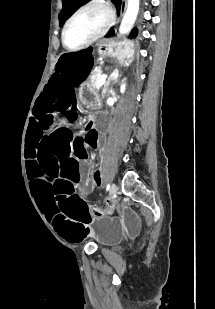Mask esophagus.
<instances>
[{
    "label": "esophagus",
    "mask_w": 215,
    "mask_h": 309,
    "mask_svg": "<svg viewBox=\"0 0 215 309\" xmlns=\"http://www.w3.org/2000/svg\"><path fill=\"white\" fill-rule=\"evenodd\" d=\"M127 6V0H122L121 10H120V18L123 17Z\"/></svg>",
    "instance_id": "obj_1"
}]
</instances>
